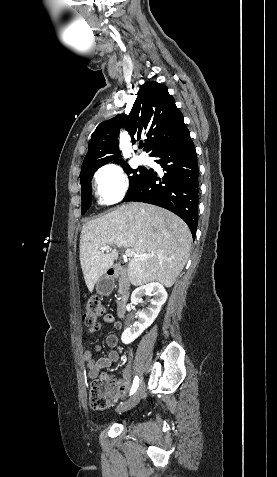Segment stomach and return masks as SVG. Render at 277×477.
<instances>
[{
	"instance_id": "obj_1",
	"label": "stomach",
	"mask_w": 277,
	"mask_h": 477,
	"mask_svg": "<svg viewBox=\"0 0 277 477\" xmlns=\"http://www.w3.org/2000/svg\"><path fill=\"white\" fill-rule=\"evenodd\" d=\"M113 289V281L107 276L100 277L96 282V291L101 295H108Z\"/></svg>"
}]
</instances>
